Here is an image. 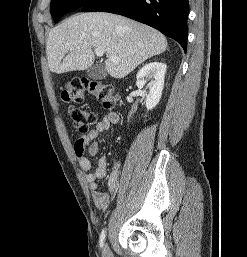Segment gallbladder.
I'll return each mask as SVG.
<instances>
[{"label": "gallbladder", "mask_w": 247, "mask_h": 257, "mask_svg": "<svg viewBox=\"0 0 247 257\" xmlns=\"http://www.w3.org/2000/svg\"><path fill=\"white\" fill-rule=\"evenodd\" d=\"M87 75L93 80H101L107 76V71L102 64H94L87 70Z\"/></svg>", "instance_id": "gallbladder-1"}]
</instances>
